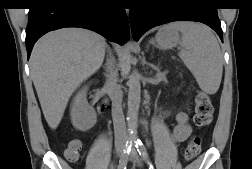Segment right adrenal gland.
<instances>
[{"instance_id":"1","label":"right adrenal gland","mask_w":252,"mask_h":169,"mask_svg":"<svg viewBox=\"0 0 252 169\" xmlns=\"http://www.w3.org/2000/svg\"><path fill=\"white\" fill-rule=\"evenodd\" d=\"M106 49H107V59L103 68L105 69V71H108L114 63V56H113L112 49L108 45L106 46Z\"/></svg>"}]
</instances>
